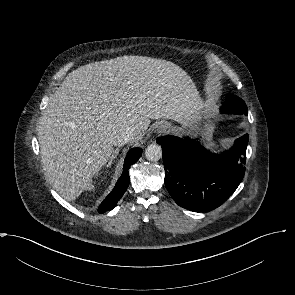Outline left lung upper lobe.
Returning a JSON list of instances; mask_svg holds the SVG:
<instances>
[{"instance_id":"left-lung-upper-lobe-1","label":"left lung upper lobe","mask_w":295,"mask_h":295,"mask_svg":"<svg viewBox=\"0 0 295 295\" xmlns=\"http://www.w3.org/2000/svg\"><path fill=\"white\" fill-rule=\"evenodd\" d=\"M222 109L225 111H234L241 114L247 113V106L245 102L237 96H230L224 103Z\"/></svg>"}]
</instances>
